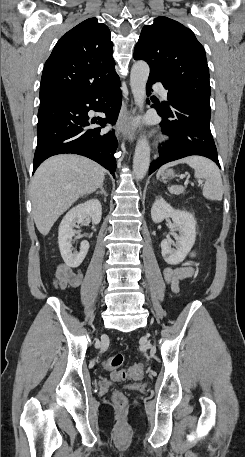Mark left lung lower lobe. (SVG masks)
<instances>
[{
    "label": "left lung lower lobe",
    "mask_w": 245,
    "mask_h": 457,
    "mask_svg": "<svg viewBox=\"0 0 245 457\" xmlns=\"http://www.w3.org/2000/svg\"><path fill=\"white\" fill-rule=\"evenodd\" d=\"M156 82L161 81L150 75L146 85L148 95L151 94V85ZM147 102L149 103L148 100ZM154 103L158 105L152 107L156 108L158 115L163 118L160 123L162 132L168 135L170 140L160 148V157L151 163L149 174L163 164L191 155L207 157L220 167L210 131V110L193 108L183 103L169 108Z\"/></svg>",
    "instance_id": "1"
}]
</instances>
